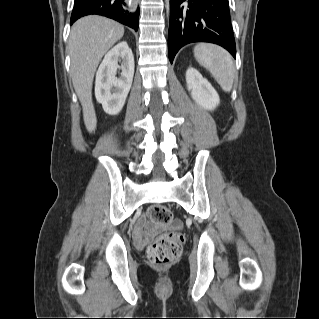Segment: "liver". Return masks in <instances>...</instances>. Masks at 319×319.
Segmentation results:
<instances>
[{
  "instance_id": "liver-1",
  "label": "liver",
  "mask_w": 319,
  "mask_h": 319,
  "mask_svg": "<svg viewBox=\"0 0 319 319\" xmlns=\"http://www.w3.org/2000/svg\"><path fill=\"white\" fill-rule=\"evenodd\" d=\"M123 35V25L98 15L83 17L71 28L68 42L70 76L90 133L95 131L97 124L92 102L94 74L102 57Z\"/></svg>"
}]
</instances>
